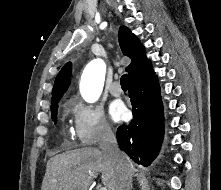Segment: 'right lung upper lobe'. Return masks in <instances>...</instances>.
Wrapping results in <instances>:
<instances>
[{
	"label": "right lung upper lobe",
	"mask_w": 221,
	"mask_h": 190,
	"mask_svg": "<svg viewBox=\"0 0 221 190\" xmlns=\"http://www.w3.org/2000/svg\"><path fill=\"white\" fill-rule=\"evenodd\" d=\"M119 44L124 55L131 58V63L126 67L129 82L142 80L154 74L150 60L147 59L145 48L139 39L125 26L119 29ZM72 66L67 63L58 73L53 90L51 103L60 100L70 85Z\"/></svg>",
	"instance_id": "1"
}]
</instances>
